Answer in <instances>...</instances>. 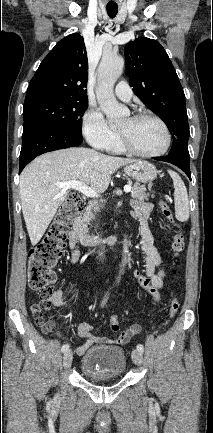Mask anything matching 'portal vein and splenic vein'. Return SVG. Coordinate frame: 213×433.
<instances>
[{"label": "portal vein and splenic vein", "instance_id": "portal-vein-and-splenic-vein-1", "mask_svg": "<svg viewBox=\"0 0 213 433\" xmlns=\"http://www.w3.org/2000/svg\"><path fill=\"white\" fill-rule=\"evenodd\" d=\"M56 186L61 188L63 191H66L68 189L79 191L82 194L86 195L87 197H91V198H98L100 196L96 191H94L93 189H91L81 181H67L62 183H56ZM124 191L126 193L130 192L131 186L126 185L124 187Z\"/></svg>", "mask_w": 213, "mask_h": 433}]
</instances>
